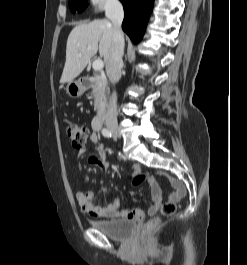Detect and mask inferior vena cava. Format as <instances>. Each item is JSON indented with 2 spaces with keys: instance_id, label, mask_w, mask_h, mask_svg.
Returning a JSON list of instances; mask_svg holds the SVG:
<instances>
[{
  "instance_id": "602c4592",
  "label": "inferior vena cava",
  "mask_w": 247,
  "mask_h": 265,
  "mask_svg": "<svg viewBox=\"0 0 247 265\" xmlns=\"http://www.w3.org/2000/svg\"><path fill=\"white\" fill-rule=\"evenodd\" d=\"M105 14L113 25V39L106 59V73L110 81L115 83L121 78V68L123 66L124 37L121 24L124 11L122 4L118 0H112L108 4ZM116 103L117 95L114 92L109 100V108L105 117L107 126L117 124Z\"/></svg>"
}]
</instances>
